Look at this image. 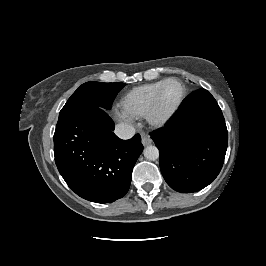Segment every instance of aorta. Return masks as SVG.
I'll use <instances>...</instances> for the list:
<instances>
[{
    "label": "aorta",
    "instance_id": "762f6f07",
    "mask_svg": "<svg viewBox=\"0 0 266 266\" xmlns=\"http://www.w3.org/2000/svg\"><path fill=\"white\" fill-rule=\"evenodd\" d=\"M144 157L147 159V160H151V161H154V160H157L159 158V150L156 146H147L144 151Z\"/></svg>",
    "mask_w": 266,
    "mask_h": 266
}]
</instances>
